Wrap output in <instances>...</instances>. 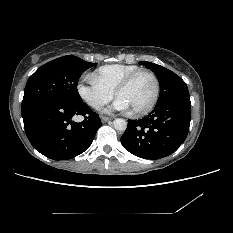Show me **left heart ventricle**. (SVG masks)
<instances>
[{
	"instance_id": "obj_1",
	"label": "left heart ventricle",
	"mask_w": 233,
	"mask_h": 233,
	"mask_svg": "<svg viewBox=\"0 0 233 233\" xmlns=\"http://www.w3.org/2000/svg\"><path fill=\"white\" fill-rule=\"evenodd\" d=\"M154 93V83L147 74L139 75L130 86L119 93L118 98L122 99L131 111L146 107Z\"/></svg>"
}]
</instances>
